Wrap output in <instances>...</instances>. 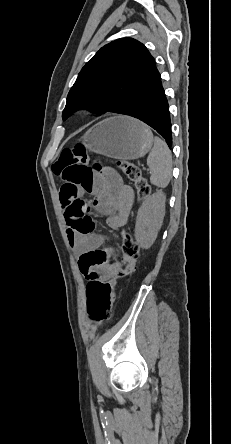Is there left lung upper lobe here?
<instances>
[{
    "mask_svg": "<svg viewBox=\"0 0 231 444\" xmlns=\"http://www.w3.org/2000/svg\"><path fill=\"white\" fill-rule=\"evenodd\" d=\"M155 64L147 48L132 38L103 46L80 71L62 117L80 108L117 113Z\"/></svg>",
    "mask_w": 231,
    "mask_h": 444,
    "instance_id": "left-lung-upper-lobe-1",
    "label": "left lung upper lobe"
}]
</instances>
